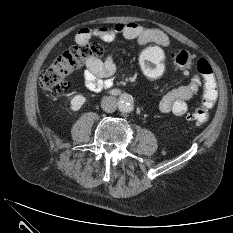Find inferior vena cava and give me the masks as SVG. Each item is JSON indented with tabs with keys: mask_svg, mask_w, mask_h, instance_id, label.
I'll return each mask as SVG.
<instances>
[{
	"mask_svg": "<svg viewBox=\"0 0 233 233\" xmlns=\"http://www.w3.org/2000/svg\"><path fill=\"white\" fill-rule=\"evenodd\" d=\"M103 110L107 113H113L117 109L118 102L114 97H105L101 102Z\"/></svg>",
	"mask_w": 233,
	"mask_h": 233,
	"instance_id": "inferior-vena-cava-1",
	"label": "inferior vena cava"
}]
</instances>
